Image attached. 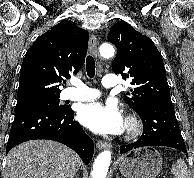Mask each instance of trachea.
<instances>
[{
    "label": "trachea",
    "instance_id": "trachea-1",
    "mask_svg": "<svg viewBox=\"0 0 194 178\" xmlns=\"http://www.w3.org/2000/svg\"><path fill=\"white\" fill-rule=\"evenodd\" d=\"M86 71L89 78L95 76V61L91 55H88L86 58Z\"/></svg>",
    "mask_w": 194,
    "mask_h": 178
}]
</instances>
